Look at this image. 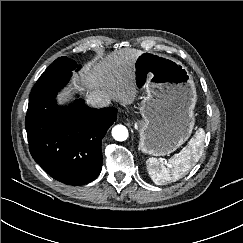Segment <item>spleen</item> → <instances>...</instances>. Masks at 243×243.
Returning <instances> with one entry per match:
<instances>
[{"label":"spleen","instance_id":"spleen-1","mask_svg":"<svg viewBox=\"0 0 243 243\" xmlns=\"http://www.w3.org/2000/svg\"><path fill=\"white\" fill-rule=\"evenodd\" d=\"M204 137V130L199 128L188 144L169 159L167 165L160 163L156 158H149L146 165L153 182L157 185H163L182 178L199 161Z\"/></svg>","mask_w":243,"mask_h":243}]
</instances>
